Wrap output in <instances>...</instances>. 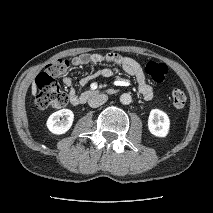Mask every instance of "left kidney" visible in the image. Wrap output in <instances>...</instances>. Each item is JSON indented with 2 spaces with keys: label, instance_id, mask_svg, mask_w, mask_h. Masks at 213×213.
<instances>
[{
  "label": "left kidney",
  "instance_id": "left-kidney-1",
  "mask_svg": "<svg viewBox=\"0 0 213 213\" xmlns=\"http://www.w3.org/2000/svg\"><path fill=\"white\" fill-rule=\"evenodd\" d=\"M148 129L156 137H166L170 129L168 115L159 109H152L148 118Z\"/></svg>",
  "mask_w": 213,
  "mask_h": 213
}]
</instances>
